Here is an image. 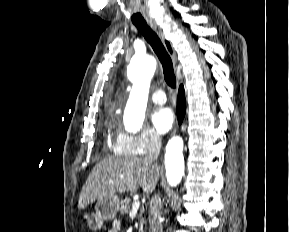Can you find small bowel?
Returning a JSON list of instances; mask_svg holds the SVG:
<instances>
[{
  "instance_id": "small-bowel-1",
  "label": "small bowel",
  "mask_w": 289,
  "mask_h": 232,
  "mask_svg": "<svg viewBox=\"0 0 289 232\" xmlns=\"http://www.w3.org/2000/svg\"><path fill=\"white\" fill-rule=\"evenodd\" d=\"M120 231V224L118 222H114L112 227L108 230V232H119Z\"/></svg>"
}]
</instances>
